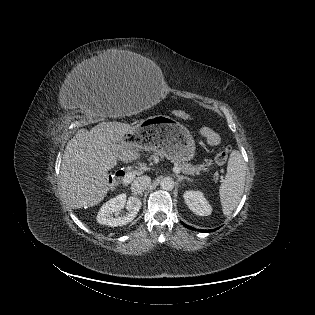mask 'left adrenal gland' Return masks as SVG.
I'll return each instance as SVG.
<instances>
[{"mask_svg":"<svg viewBox=\"0 0 315 315\" xmlns=\"http://www.w3.org/2000/svg\"><path fill=\"white\" fill-rule=\"evenodd\" d=\"M188 180V181H191V179L189 177H186V176H182V175H177V180L179 182H181L182 180Z\"/></svg>","mask_w":315,"mask_h":315,"instance_id":"left-adrenal-gland-1","label":"left adrenal gland"}]
</instances>
